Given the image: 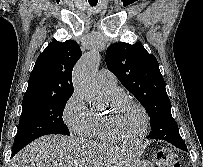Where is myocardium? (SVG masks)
<instances>
[{
	"instance_id": "obj_1",
	"label": "myocardium",
	"mask_w": 203,
	"mask_h": 167,
	"mask_svg": "<svg viewBox=\"0 0 203 167\" xmlns=\"http://www.w3.org/2000/svg\"><path fill=\"white\" fill-rule=\"evenodd\" d=\"M110 107L108 111L101 116V127L106 138L112 142L119 144H135L140 142L147 134L150 118L146 108L137 100L131 98L127 94L117 91L108 96ZM120 102H128L134 106H136L143 116V127L141 132L133 139H125L119 137L112 129L111 126V113L114 110L115 106Z\"/></svg>"
}]
</instances>
